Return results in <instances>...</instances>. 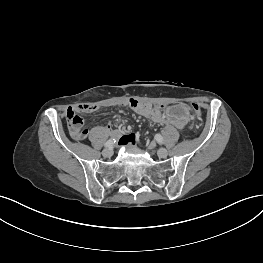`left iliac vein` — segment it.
Masks as SVG:
<instances>
[{
    "instance_id": "1",
    "label": "left iliac vein",
    "mask_w": 263,
    "mask_h": 263,
    "mask_svg": "<svg viewBox=\"0 0 263 263\" xmlns=\"http://www.w3.org/2000/svg\"><path fill=\"white\" fill-rule=\"evenodd\" d=\"M157 154H158V156H159L160 158H166L167 155H168V152H167L166 149L160 148V149L157 150Z\"/></svg>"
}]
</instances>
